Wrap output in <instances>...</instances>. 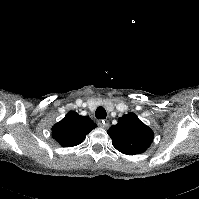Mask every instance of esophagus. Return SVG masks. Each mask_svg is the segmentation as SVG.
I'll return each instance as SVG.
<instances>
[{
  "label": "esophagus",
  "mask_w": 199,
  "mask_h": 199,
  "mask_svg": "<svg viewBox=\"0 0 199 199\" xmlns=\"http://www.w3.org/2000/svg\"><path fill=\"white\" fill-rule=\"evenodd\" d=\"M98 124L100 127L105 128V129L109 128L110 126L109 122L106 120H101L98 122Z\"/></svg>",
  "instance_id": "1"
}]
</instances>
